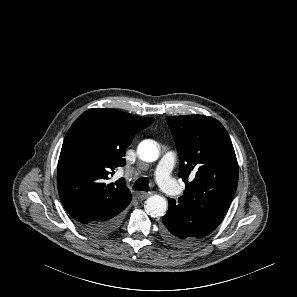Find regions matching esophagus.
<instances>
[{"mask_svg": "<svg viewBox=\"0 0 297 297\" xmlns=\"http://www.w3.org/2000/svg\"><path fill=\"white\" fill-rule=\"evenodd\" d=\"M151 195H152V193H150V192H140V193H138V198L140 200H145L148 197H150Z\"/></svg>", "mask_w": 297, "mask_h": 297, "instance_id": "esophagus-1", "label": "esophagus"}]
</instances>
